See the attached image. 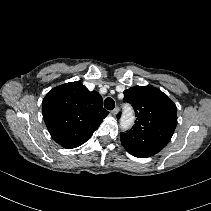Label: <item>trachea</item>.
<instances>
[{
    "label": "trachea",
    "mask_w": 211,
    "mask_h": 211,
    "mask_svg": "<svg viewBox=\"0 0 211 211\" xmlns=\"http://www.w3.org/2000/svg\"><path fill=\"white\" fill-rule=\"evenodd\" d=\"M104 107L107 110H113L115 107V101L110 97L106 98L104 101Z\"/></svg>",
    "instance_id": "trachea-1"
}]
</instances>
